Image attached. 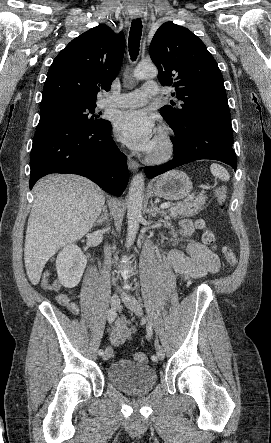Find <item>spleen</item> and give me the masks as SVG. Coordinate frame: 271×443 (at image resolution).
I'll return each mask as SVG.
<instances>
[{
    "mask_svg": "<svg viewBox=\"0 0 271 443\" xmlns=\"http://www.w3.org/2000/svg\"><path fill=\"white\" fill-rule=\"evenodd\" d=\"M210 172H211L212 176H216V178H220V180H223V182H228V180L230 178L227 170H225V168H223V166H219V164H211Z\"/></svg>",
    "mask_w": 271,
    "mask_h": 443,
    "instance_id": "spleen-1",
    "label": "spleen"
}]
</instances>
